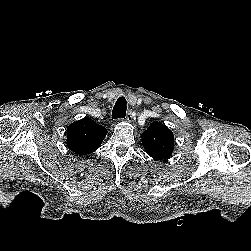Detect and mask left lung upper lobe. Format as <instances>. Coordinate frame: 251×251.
Returning <instances> with one entry per match:
<instances>
[{"mask_svg":"<svg viewBox=\"0 0 251 251\" xmlns=\"http://www.w3.org/2000/svg\"><path fill=\"white\" fill-rule=\"evenodd\" d=\"M141 138L146 153L156 160H165L174 150V135L160 122L151 124Z\"/></svg>","mask_w":251,"mask_h":251,"instance_id":"obj_1","label":"left lung upper lobe"}]
</instances>
